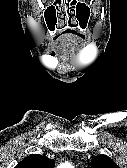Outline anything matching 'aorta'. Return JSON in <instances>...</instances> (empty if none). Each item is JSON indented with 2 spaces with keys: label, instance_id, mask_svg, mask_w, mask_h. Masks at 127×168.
I'll return each instance as SVG.
<instances>
[{
  "label": "aorta",
  "instance_id": "obj_1",
  "mask_svg": "<svg viewBox=\"0 0 127 168\" xmlns=\"http://www.w3.org/2000/svg\"><path fill=\"white\" fill-rule=\"evenodd\" d=\"M58 168H73V167L70 164L65 163V164L60 165Z\"/></svg>",
  "mask_w": 127,
  "mask_h": 168
}]
</instances>
